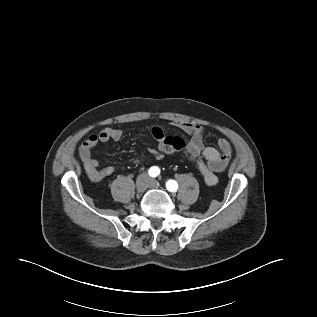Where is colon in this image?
I'll return each mask as SVG.
<instances>
[{"instance_id":"colon-1","label":"colon","mask_w":317,"mask_h":317,"mask_svg":"<svg viewBox=\"0 0 317 317\" xmlns=\"http://www.w3.org/2000/svg\"><path fill=\"white\" fill-rule=\"evenodd\" d=\"M182 142L180 139H178L175 136H167L162 144H161V148L164 152L166 153H170V152H175V151H179L181 148Z\"/></svg>"}]
</instances>
